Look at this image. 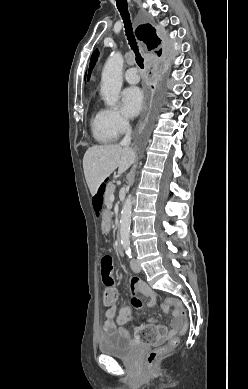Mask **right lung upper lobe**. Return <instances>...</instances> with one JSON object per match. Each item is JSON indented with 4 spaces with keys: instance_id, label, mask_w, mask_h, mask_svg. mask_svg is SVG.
Here are the masks:
<instances>
[{
    "instance_id": "1",
    "label": "right lung upper lobe",
    "mask_w": 248,
    "mask_h": 389,
    "mask_svg": "<svg viewBox=\"0 0 248 389\" xmlns=\"http://www.w3.org/2000/svg\"><path fill=\"white\" fill-rule=\"evenodd\" d=\"M135 32H136L138 39L143 40L144 43H146L148 50H152V49L156 50L157 49L158 51H155V52L158 53L159 56L161 54L166 53L165 51H163L164 41L161 38H159V36L157 35V32H156V29L154 27H152V25H150V24L140 25V26H138V28L136 29ZM98 55H99V52L96 49L93 52L92 57H91L88 78H90L91 70L94 67V65L98 59Z\"/></svg>"
}]
</instances>
